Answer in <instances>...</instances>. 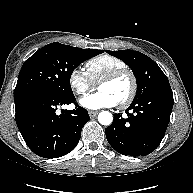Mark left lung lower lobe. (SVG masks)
<instances>
[{
    "label": "left lung lower lobe",
    "instance_id": "0a47b994",
    "mask_svg": "<svg viewBox=\"0 0 193 193\" xmlns=\"http://www.w3.org/2000/svg\"><path fill=\"white\" fill-rule=\"evenodd\" d=\"M173 104L169 81H165L134 100L126 110L128 118H123L122 113L114 114L113 123L105 129L109 144L123 155L150 154L165 135Z\"/></svg>",
    "mask_w": 193,
    "mask_h": 193
}]
</instances>
